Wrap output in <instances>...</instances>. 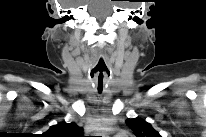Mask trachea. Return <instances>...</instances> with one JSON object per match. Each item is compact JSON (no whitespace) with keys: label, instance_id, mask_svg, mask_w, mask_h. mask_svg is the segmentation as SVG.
Masks as SVG:
<instances>
[{"label":"trachea","instance_id":"1","mask_svg":"<svg viewBox=\"0 0 206 137\" xmlns=\"http://www.w3.org/2000/svg\"><path fill=\"white\" fill-rule=\"evenodd\" d=\"M105 68H106V66H105L104 61L102 59H100L98 65L93 70V73L94 72H99V75L96 79V81L98 83V91L99 92H102V89H103V79H104L103 71H105Z\"/></svg>","mask_w":206,"mask_h":137}]
</instances>
